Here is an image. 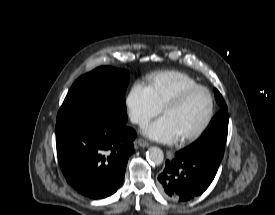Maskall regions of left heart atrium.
<instances>
[{
  "instance_id": "obj_1",
  "label": "left heart atrium",
  "mask_w": 275,
  "mask_h": 215,
  "mask_svg": "<svg viewBox=\"0 0 275 215\" xmlns=\"http://www.w3.org/2000/svg\"><path fill=\"white\" fill-rule=\"evenodd\" d=\"M143 132L149 138L159 142L171 143L178 139L175 128L165 116L148 124Z\"/></svg>"
}]
</instances>
